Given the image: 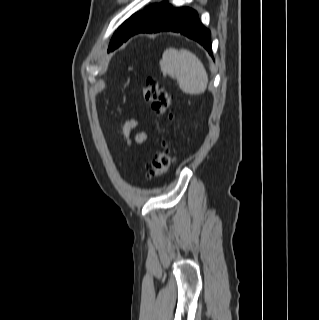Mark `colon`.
<instances>
[{
  "mask_svg": "<svg viewBox=\"0 0 319 320\" xmlns=\"http://www.w3.org/2000/svg\"><path fill=\"white\" fill-rule=\"evenodd\" d=\"M144 100L149 103L158 119L169 118L171 97L155 79H148L142 88ZM174 161L171 150L162 145L154 151L149 164L147 177L156 178L169 171Z\"/></svg>",
  "mask_w": 319,
  "mask_h": 320,
  "instance_id": "5ec220e1",
  "label": "colon"
}]
</instances>
